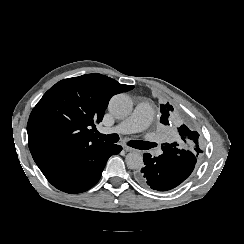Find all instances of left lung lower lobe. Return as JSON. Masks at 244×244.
<instances>
[{"label":"left lung lower lobe","instance_id":"0a47b994","mask_svg":"<svg viewBox=\"0 0 244 244\" xmlns=\"http://www.w3.org/2000/svg\"><path fill=\"white\" fill-rule=\"evenodd\" d=\"M163 154L143 155L145 167L135 174L136 181L154 190L167 191L181 184L194 170L197 157L194 152L176 147L161 146Z\"/></svg>","mask_w":244,"mask_h":244}]
</instances>
